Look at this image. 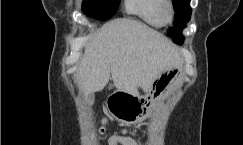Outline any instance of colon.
<instances>
[{
  "mask_svg": "<svg viewBox=\"0 0 243 145\" xmlns=\"http://www.w3.org/2000/svg\"><path fill=\"white\" fill-rule=\"evenodd\" d=\"M101 131L104 132V128H102Z\"/></svg>",
  "mask_w": 243,
  "mask_h": 145,
  "instance_id": "1",
  "label": "colon"
}]
</instances>
